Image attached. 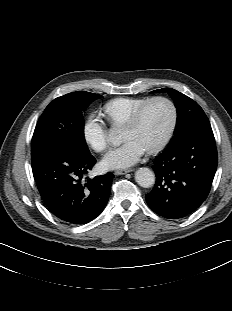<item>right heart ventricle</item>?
<instances>
[{
  "label": "right heart ventricle",
  "instance_id": "right-heart-ventricle-1",
  "mask_svg": "<svg viewBox=\"0 0 232 311\" xmlns=\"http://www.w3.org/2000/svg\"><path fill=\"white\" fill-rule=\"evenodd\" d=\"M148 97H117L104 105V112L112 128H122L133 113L147 100Z\"/></svg>",
  "mask_w": 232,
  "mask_h": 311
}]
</instances>
